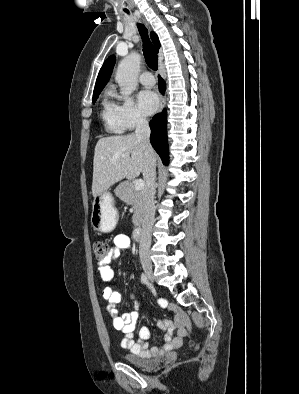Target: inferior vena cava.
<instances>
[{
    "mask_svg": "<svg viewBox=\"0 0 299 394\" xmlns=\"http://www.w3.org/2000/svg\"><path fill=\"white\" fill-rule=\"evenodd\" d=\"M135 136L141 143L145 152V166L143 177L145 181L144 217L140 235L139 255L142 264H150L151 232L154 224L156 193V159L149 141L150 128L148 121L142 115L137 116Z\"/></svg>",
    "mask_w": 299,
    "mask_h": 394,
    "instance_id": "602c4592",
    "label": "inferior vena cava"
}]
</instances>
